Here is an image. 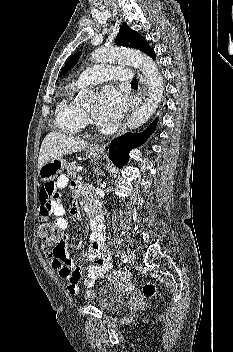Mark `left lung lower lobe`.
<instances>
[{
    "instance_id": "obj_1",
    "label": "left lung lower lobe",
    "mask_w": 233,
    "mask_h": 352,
    "mask_svg": "<svg viewBox=\"0 0 233 352\" xmlns=\"http://www.w3.org/2000/svg\"><path fill=\"white\" fill-rule=\"evenodd\" d=\"M156 123L157 119L143 133H126L112 140L108 147V151L110 158L119 168H122L128 162L130 150L141 145L143 141H145V139L153 132L156 127Z\"/></svg>"
}]
</instances>
